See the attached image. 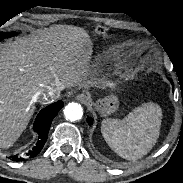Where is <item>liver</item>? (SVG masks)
<instances>
[{"instance_id":"liver-1","label":"liver","mask_w":183,"mask_h":183,"mask_svg":"<svg viewBox=\"0 0 183 183\" xmlns=\"http://www.w3.org/2000/svg\"><path fill=\"white\" fill-rule=\"evenodd\" d=\"M82 28L60 26L7 44L0 53V146L9 147L35 110L34 95L48 85L93 86L99 63Z\"/></svg>"}]
</instances>
